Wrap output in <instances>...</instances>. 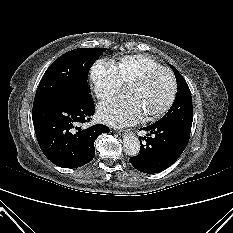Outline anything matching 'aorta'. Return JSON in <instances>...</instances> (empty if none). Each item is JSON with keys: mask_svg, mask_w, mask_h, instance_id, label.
Wrapping results in <instances>:
<instances>
[{"mask_svg": "<svg viewBox=\"0 0 233 233\" xmlns=\"http://www.w3.org/2000/svg\"><path fill=\"white\" fill-rule=\"evenodd\" d=\"M124 151L129 156H136L140 151V142L134 135H125L123 139Z\"/></svg>", "mask_w": 233, "mask_h": 233, "instance_id": "1", "label": "aorta"}]
</instances>
